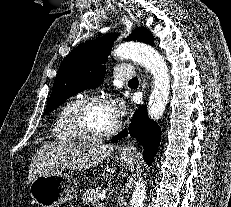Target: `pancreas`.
Segmentation results:
<instances>
[{"label":"pancreas","instance_id":"pancreas-1","mask_svg":"<svg viewBox=\"0 0 231 207\" xmlns=\"http://www.w3.org/2000/svg\"><path fill=\"white\" fill-rule=\"evenodd\" d=\"M103 193V189L101 187L90 188L87 190L82 196V202L84 204H94L99 203L100 196Z\"/></svg>","mask_w":231,"mask_h":207}]
</instances>
